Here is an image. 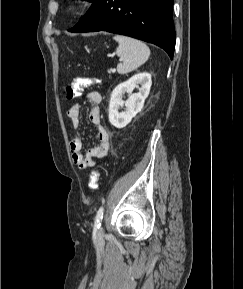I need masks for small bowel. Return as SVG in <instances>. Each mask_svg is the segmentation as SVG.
<instances>
[{"label":"small bowel","instance_id":"1","mask_svg":"<svg viewBox=\"0 0 243 289\" xmlns=\"http://www.w3.org/2000/svg\"><path fill=\"white\" fill-rule=\"evenodd\" d=\"M102 96L97 91H92L84 97V102H90L92 108L89 112V121L97 126L98 129V142L97 144L89 149L85 154L82 152V140L80 137H74L70 141V152L74 164L81 170H85L89 167L94 166L95 159L104 157L110 145L108 130L101 124V113L100 103ZM80 107L81 104H73L67 110V116L72 122L74 128H77L80 123Z\"/></svg>","mask_w":243,"mask_h":289}]
</instances>
